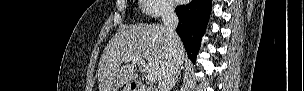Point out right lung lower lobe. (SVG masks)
I'll return each mask as SVG.
<instances>
[{
  "mask_svg": "<svg viewBox=\"0 0 304 91\" xmlns=\"http://www.w3.org/2000/svg\"><path fill=\"white\" fill-rule=\"evenodd\" d=\"M211 4V0H192L191 3L175 9L179 18L176 32L183 41L189 58L194 63L201 44V37L208 23Z\"/></svg>",
  "mask_w": 304,
  "mask_h": 91,
  "instance_id": "98d812e1",
  "label": "right lung lower lobe"
}]
</instances>
